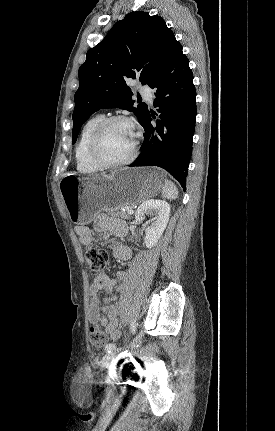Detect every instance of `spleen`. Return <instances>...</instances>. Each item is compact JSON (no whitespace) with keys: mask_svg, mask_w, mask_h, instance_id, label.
<instances>
[{"mask_svg":"<svg viewBox=\"0 0 275 431\" xmlns=\"http://www.w3.org/2000/svg\"><path fill=\"white\" fill-rule=\"evenodd\" d=\"M162 196L170 200L177 198L178 189L173 182L165 180V185L162 190Z\"/></svg>","mask_w":275,"mask_h":431,"instance_id":"obj_1","label":"spleen"}]
</instances>
